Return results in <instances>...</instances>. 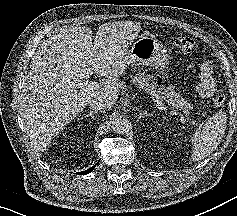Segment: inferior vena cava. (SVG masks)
<instances>
[{
    "label": "inferior vena cava",
    "mask_w": 237,
    "mask_h": 216,
    "mask_svg": "<svg viewBox=\"0 0 237 216\" xmlns=\"http://www.w3.org/2000/svg\"><path fill=\"white\" fill-rule=\"evenodd\" d=\"M114 103L115 100L108 97L104 92L98 93L94 97H90L86 102L90 108L101 113H106L108 110H110Z\"/></svg>",
    "instance_id": "1"
}]
</instances>
